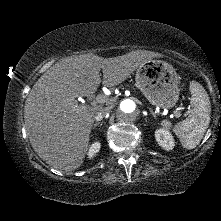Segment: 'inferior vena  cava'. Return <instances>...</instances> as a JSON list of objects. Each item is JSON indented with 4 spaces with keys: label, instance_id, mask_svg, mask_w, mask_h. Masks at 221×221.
<instances>
[{
    "label": "inferior vena cava",
    "instance_id": "inferior-vena-cava-1",
    "mask_svg": "<svg viewBox=\"0 0 221 221\" xmlns=\"http://www.w3.org/2000/svg\"><path fill=\"white\" fill-rule=\"evenodd\" d=\"M110 112V107L102 108L96 115L95 120L101 121L105 115Z\"/></svg>",
    "mask_w": 221,
    "mask_h": 221
}]
</instances>
